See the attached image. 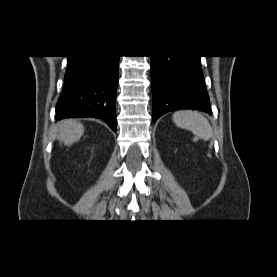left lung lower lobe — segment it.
<instances>
[{
    "label": "left lung lower lobe",
    "mask_w": 277,
    "mask_h": 277,
    "mask_svg": "<svg viewBox=\"0 0 277 277\" xmlns=\"http://www.w3.org/2000/svg\"><path fill=\"white\" fill-rule=\"evenodd\" d=\"M153 122L178 109L212 113L200 56H151Z\"/></svg>",
    "instance_id": "left-lung-lower-lobe-1"
}]
</instances>
